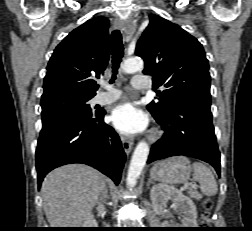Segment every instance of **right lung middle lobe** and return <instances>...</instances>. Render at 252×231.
<instances>
[{"mask_svg": "<svg viewBox=\"0 0 252 231\" xmlns=\"http://www.w3.org/2000/svg\"><path fill=\"white\" fill-rule=\"evenodd\" d=\"M93 96L64 94L41 101L42 122L46 123L61 116H88L92 114L88 101Z\"/></svg>", "mask_w": 252, "mask_h": 231, "instance_id": "obj_1", "label": "right lung middle lobe"}]
</instances>
